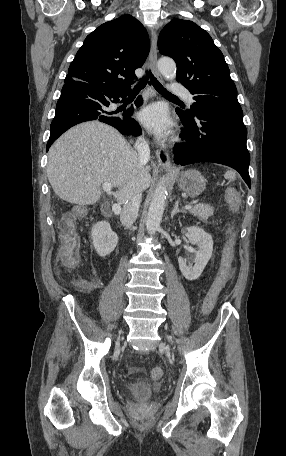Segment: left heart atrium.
Returning a JSON list of instances; mask_svg holds the SVG:
<instances>
[{
	"instance_id": "obj_1",
	"label": "left heart atrium",
	"mask_w": 286,
	"mask_h": 456,
	"mask_svg": "<svg viewBox=\"0 0 286 456\" xmlns=\"http://www.w3.org/2000/svg\"><path fill=\"white\" fill-rule=\"evenodd\" d=\"M140 121L148 130L159 136L167 135L172 126L166 108L160 104L144 108L140 113Z\"/></svg>"
}]
</instances>
